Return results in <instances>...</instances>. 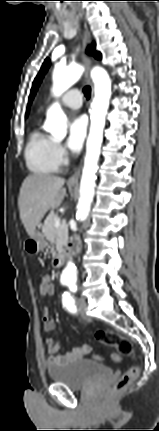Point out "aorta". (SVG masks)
Returning a JSON list of instances; mask_svg holds the SVG:
<instances>
[{"label": "aorta", "mask_w": 159, "mask_h": 431, "mask_svg": "<svg viewBox=\"0 0 159 431\" xmlns=\"http://www.w3.org/2000/svg\"><path fill=\"white\" fill-rule=\"evenodd\" d=\"M83 72L84 67L78 64L68 67L56 66L53 72V93L56 96H60L80 79ZM91 78L94 83L95 97L91 106V127L80 183V198L77 213V220L79 221H84L87 218L94 197L96 171L103 140L105 116L111 97V80L104 68L94 67L91 70ZM45 129L56 139H63L66 136V116L58 103L52 105L48 110ZM61 278L64 283L75 285L77 268L74 262L69 261L67 263Z\"/></svg>", "instance_id": "obj_1"}]
</instances>
